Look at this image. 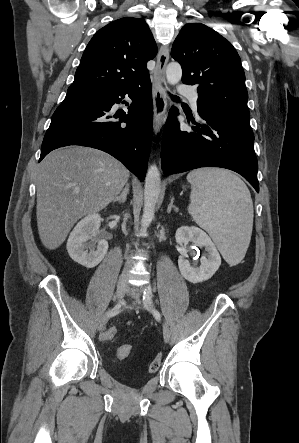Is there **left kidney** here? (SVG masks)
Segmentation results:
<instances>
[{
	"label": "left kidney",
	"mask_w": 299,
	"mask_h": 443,
	"mask_svg": "<svg viewBox=\"0 0 299 443\" xmlns=\"http://www.w3.org/2000/svg\"><path fill=\"white\" fill-rule=\"evenodd\" d=\"M178 244L193 242L198 247H205L206 254L201 259L200 267L191 265L185 254L178 259V266L182 276L192 283L210 279L221 265V257L210 237L200 228L182 226L175 234Z\"/></svg>",
	"instance_id": "5707ae66"
}]
</instances>
